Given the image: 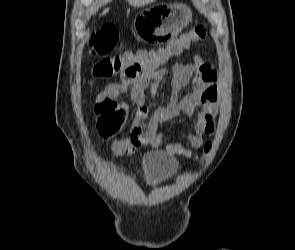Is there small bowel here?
<instances>
[{
  "label": "small bowel",
  "mask_w": 295,
  "mask_h": 250,
  "mask_svg": "<svg viewBox=\"0 0 295 250\" xmlns=\"http://www.w3.org/2000/svg\"><path fill=\"white\" fill-rule=\"evenodd\" d=\"M181 52L160 48L151 51H126L122 54L127 61L120 72V80L99 89L95 105L105 99H114L130 94L133 102L139 106L134 122L126 139L115 140L112 151L116 155H133L138 150L152 146H165L172 153L190 157L191 152L177 142H166L165 136L158 131L161 123L184 114L191 127L187 142L192 148H201L206 142L204 136L210 137L216 130L218 114L217 73L212 65L200 56L188 63H176L173 66L171 93L168 102L158 106L148 116L145 106V91L149 89L154 99L159 92V85L168 74L163 67L167 61ZM191 86L192 90L180 98L179 91Z\"/></svg>",
  "instance_id": "obj_1"
}]
</instances>
